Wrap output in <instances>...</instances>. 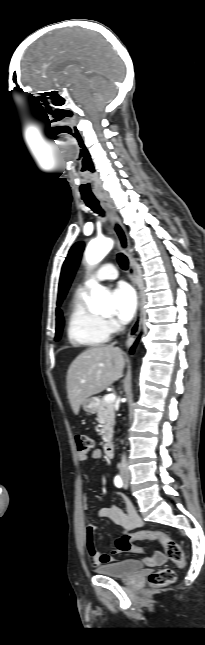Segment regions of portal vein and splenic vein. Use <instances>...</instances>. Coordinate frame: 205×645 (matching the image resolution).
<instances>
[{"instance_id": "portal-vein-and-splenic-vein-1", "label": "portal vein and splenic vein", "mask_w": 205, "mask_h": 645, "mask_svg": "<svg viewBox=\"0 0 205 645\" xmlns=\"http://www.w3.org/2000/svg\"><path fill=\"white\" fill-rule=\"evenodd\" d=\"M104 399H105L106 402H114L115 399H116V396H115V394L111 393V394L106 395Z\"/></svg>"}]
</instances>
